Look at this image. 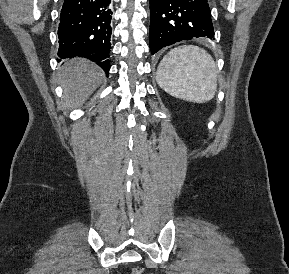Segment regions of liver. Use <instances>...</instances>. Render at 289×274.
<instances>
[{
	"mask_svg": "<svg viewBox=\"0 0 289 274\" xmlns=\"http://www.w3.org/2000/svg\"><path fill=\"white\" fill-rule=\"evenodd\" d=\"M103 76L102 70L86 59L73 58L67 61L58 74L65 107L83 105L101 83Z\"/></svg>",
	"mask_w": 289,
	"mask_h": 274,
	"instance_id": "1",
	"label": "liver"
}]
</instances>
